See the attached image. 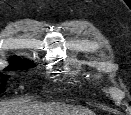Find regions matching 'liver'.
Returning a JSON list of instances; mask_svg holds the SVG:
<instances>
[{
  "instance_id": "1",
  "label": "liver",
  "mask_w": 131,
  "mask_h": 115,
  "mask_svg": "<svg viewBox=\"0 0 131 115\" xmlns=\"http://www.w3.org/2000/svg\"><path fill=\"white\" fill-rule=\"evenodd\" d=\"M0 115H95L88 109L72 108L61 104H39L25 100L0 105Z\"/></svg>"
}]
</instances>
